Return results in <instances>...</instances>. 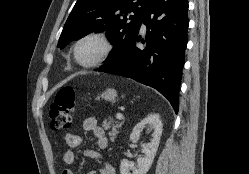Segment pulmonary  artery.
<instances>
[{"label":"pulmonary artery","instance_id":"e3ab8cb5","mask_svg":"<svg viewBox=\"0 0 249 174\" xmlns=\"http://www.w3.org/2000/svg\"><path fill=\"white\" fill-rule=\"evenodd\" d=\"M142 30H145V25L144 24H142Z\"/></svg>","mask_w":249,"mask_h":174}]
</instances>
